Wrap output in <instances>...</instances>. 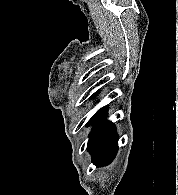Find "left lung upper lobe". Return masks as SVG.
Segmentation results:
<instances>
[{
	"mask_svg": "<svg viewBox=\"0 0 178 195\" xmlns=\"http://www.w3.org/2000/svg\"><path fill=\"white\" fill-rule=\"evenodd\" d=\"M107 107L105 106V107H103V108H101L90 120H89V122L93 119V118H95L98 114H100L104 109H106ZM88 122V123H89Z\"/></svg>",
	"mask_w": 178,
	"mask_h": 195,
	"instance_id": "1",
	"label": "left lung upper lobe"
}]
</instances>
